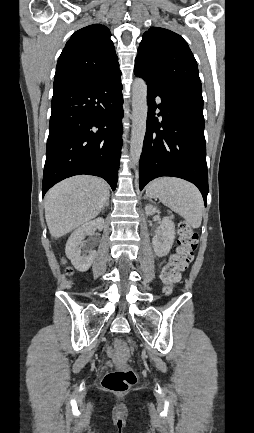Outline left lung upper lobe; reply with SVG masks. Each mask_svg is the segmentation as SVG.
<instances>
[{"label":"left lung upper lobe","instance_id":"5c2ea615","mask_svg":"<svg viewBox=\"0 0 254 433\" xmlns=\"http://www.w3.org/2000/svg\"><path fill=\"white\" fill-rule=\"evenodd\" d=\"M135 68L165 88L202 98L197 62L187 42L177 33L152 27L143 35Z\"/></svg>","mask_w":254,"mask_h":433}]
</instances>
